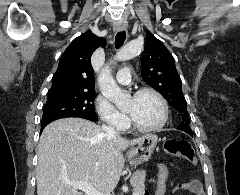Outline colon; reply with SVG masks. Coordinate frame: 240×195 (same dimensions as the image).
Masks as SVG:
<instances>
[{"instance_id":"obj_1","label":"colon","mask_w":240,"mask_h":195,"mask_svg":"<svg viewBox=\"0 0 240 195\" xmlns=\"http://www.w3.org/2000/svg\"><path fill=\"white\" fill-rule=\"evenodd\" d=\"M163 153L170 155L182 156L186 158L192 165H197V159L191 145L183 139L169 140L164 143ZM170 174V168L166 164L158 166V183L156 195H163L167 192V175ZM188 190L194 195H204L202 186L198 182H190Z\"/></svg>"}]
</instances>
